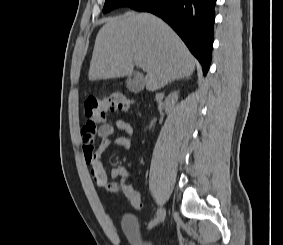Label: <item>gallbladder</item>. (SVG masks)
Segmentation results:
<instances>
[{
    "instance_id": "obj_1",
    "label": "gallbladder",
    "mask_w": 283,
    "mask_h": 245,
    "mask_svg": "<svg viewBox=\"0 0 283 245\" xmlns=\"http://www.w3.org/2000/svg\"><path fill=\"white\" fill-rule=\"evenodd\" d=\"M126 83H127V87L133 92H138L142 90L143 86L141 83L137 81L136 78L133 79L129 78Z\"/></svg>"
}]
</instances>
